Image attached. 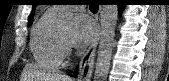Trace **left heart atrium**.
<instances>
[{
    "mask_svg": "<svg viewBox=\"0 0 169 81\" xmlns=\"http://www.w3.org/2000/svg\"><path fill=\"white\" fill-rule=\"evenodd\" d=\"M94 33V25L90 18L85 14H79L75 17L73 30L70 34V42L74 47L85 46Z\"/></svg>",
    "mask_w": 169,
    "mask_h": 81,
    "instance_id": "39dd6f15",
    "label": "left heart atrium"
}]
</instances>
